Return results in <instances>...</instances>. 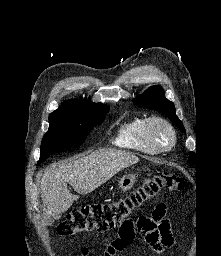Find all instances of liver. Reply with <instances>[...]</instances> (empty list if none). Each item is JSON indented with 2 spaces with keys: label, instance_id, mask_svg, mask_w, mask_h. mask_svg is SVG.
I'll list each match as a JSON object with an SVG mask.
<instances>
[{
  "label": "liver",
  "instance_id": "6515ba94",
  "mask_svg": "<svg viewBox=\"0 0 221 256\" xmlns=\"http://www.w3.org/2000/svg\"><path fill=\"white\" fill-rule=\"evenodd\" d=\"M139 162L131 153L102 149L78 159L63 161L48 168L41 179L40 192L46 217L67 211L78 199L67 188L69 183L78 194H88L111 179L119 171Z\"/></svg>",
  "mask_w": 221,
  "mask_h": 256
}]
</instances>
